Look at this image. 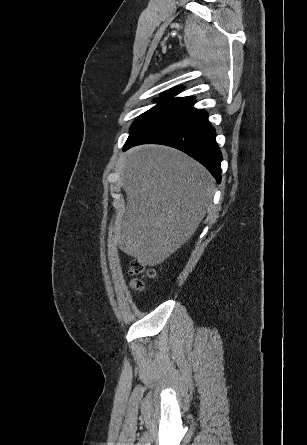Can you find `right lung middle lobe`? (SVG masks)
<instances>
[{"mask_svg":"<svg viewBox=\"0 0 307 445\" xmlns=\"http://www.w3.org/2000/svg\"><path fill=\"white\" fill-rule=\"evenodd\" d=\"M156 101L161 102L135 119L130 128V136L137 133L142 128L159 119L160 117L180 108L186 103L185 101L179 99L166 100V98L163 97L156 99Z\"/></svg>","mask_w":307,"mask_h":445,"instance_id":"obj_1","label":"right lung middle lobe"}]
</instances>
